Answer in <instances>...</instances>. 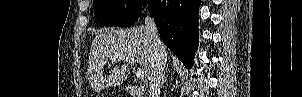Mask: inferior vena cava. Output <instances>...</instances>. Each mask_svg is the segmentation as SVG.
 <instances>
[{
	"instance_id": "obj_1",
	"label": "inferior vena cava",
	"mask_w": 302,
	"mask_h": 97,
	"mask_svg": "<svg viewBox=\"0 0 302 97\" xmlns=\"http://www.w3.org/2000/svg\"><path fill=\"white\" fill-rule=\"evenodd\" d=\"M145 27L146 32L150 36L151 46H152V65L149 73V97H159L160 96V87L162 78L164 75V70L166 67V48L162 41L160 40L158 30L155 24L154 19L147 15L145 17Z\"/></svg>"
}]
</instances>
